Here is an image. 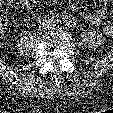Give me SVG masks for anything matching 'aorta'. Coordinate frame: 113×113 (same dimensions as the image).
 <instances>
[{"instance_id":"762f6f07","label":"aorta","mask_w":113,"mask_h":113,"mask_svg":"<svg viewBox=\"0 0 113 113\" xmlns=\"http://www.w3.org/2000/svg\"><path fill=\"white\" fill-rule=\"evenodd\" d=\"M68 23H69V25H73V24L75 25L74 18H72L71 20H69Z\"/></svg>"}]
</instances>
